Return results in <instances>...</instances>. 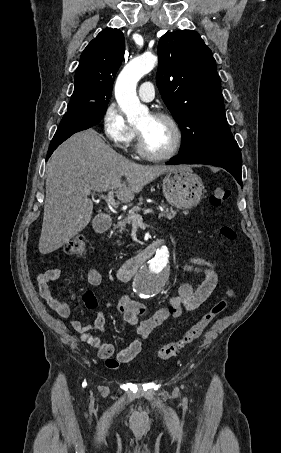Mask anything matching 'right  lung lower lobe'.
<instances>
[{
	"label": "right lung lower lobe",
	"instance_id": "obj_1",
	"mask_svg": "<svg viewBox=\"0 0 281 453\" xmlns=\"http://www.w3.org/2000/svg\"><path fill=\"white\" fill-rule=\"evenodd\" d=\"M107 105L84 104L68 107L60 125L49 145L47 159L53 151L76 132L85 130L98 123L105 114Z\"/></svg>",
	"mask_w": 281,
	"mask_h": 453
}]
</instances>
